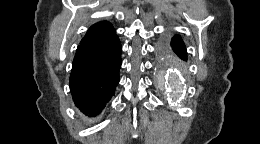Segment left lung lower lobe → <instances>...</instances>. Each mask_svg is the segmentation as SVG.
<instances>
[{
	"label": "left lung lower lobe",
	"instance_id": "left-lung-lower-lobe-1",
	"mask_svg": "<svg viewBox=\"0 0 260 144\" xmlns=\"http://www.w3.org/2000/svg\"><path fill=\"white\" fill-rule=\"evenodd\" d=\"M164 42H168L171 45L173 52L177 54L178 57H180L182 60H187L186 47L179 35H175L170 42L167 40Z\"/></svg>",
	"mask_w": 260,
	"mask_h": 144
}]
</instances>
